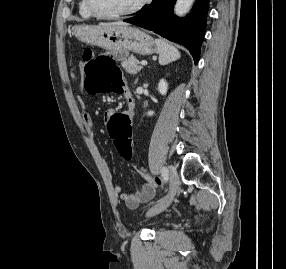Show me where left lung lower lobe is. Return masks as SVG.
<instances>
[{
	"instance_id": "obj_1",
	"label": "left lung lower lobe",
	"mask_w": 286,
	"mask_h": 269,
	"mask_svg": "<svg viewBox=\"0 0 286 269\" xmlns=\"http://www.w3.org/2000/svg\"><path fill=\"white\" fill-rule=\"evenodd\" d=\"M175 2L176 0H153L149 7L138 12V16L124 21L184 45L197 64L205 32L209 0H196L193 11L185 18L173 14Z\"/></svg>"
}]
</instances>
